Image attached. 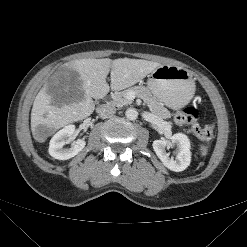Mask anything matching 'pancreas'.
<instances>
[{"instance_id":"pancreas-1","label":"pancreas","mask_w":247,"mask_h":247,"mask_svg":"<svg viewBox=\"0 0 247 247\" xmlns=\"http://www.w3.org/2000/svg\"><path fill=\"white\" fill-rule=\"evenodd\" d=\"M132 92L135 96L140 97L149 107L150 111L161 119L170 118V112L159 102L144 86H134L126 89L122 92H115L112 95L111 104L114 106L121 107L132 103V99L129 98L128 94Z\"/></svg>"}]
</instances>
